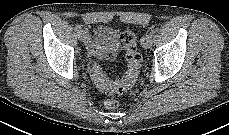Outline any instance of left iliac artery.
I'll return each instance as SVG.
<instances>
[{"instance_id":"left-iliac-artery-1","label":"left iliac artery","mask_w":229,"mask_h":135,"mask_svg":"<svg viewBox=\"0 0 229 135\" xmlns=\"http://www.w3.org/2000/svg\"><path fill=\"white\" fill-rule=\"evenodd\" d=\"M155 33H156L155 30H150V31H149V35H150V36H153Z\"/></svg>"}]
</instances>
